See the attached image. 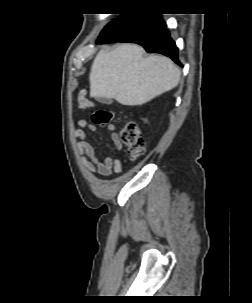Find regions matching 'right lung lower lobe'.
<instances>
[{"label": "right lung lower lobe", "instance_id": "98d812e1", "mask_svg": "<svg viewBox=\"0 0 252 303\" xmlns=\"http://www.w3.org/2000/svg\"><path fill=\"white\" fill-rule=\"evenodd\" d=\"M99 43H137L149 53H159L170 57L178 65V49L158 14H123L117 23L102 37Z\"/></svg>", "mask_w": 252, "mask_h": 303}]
</instances>
